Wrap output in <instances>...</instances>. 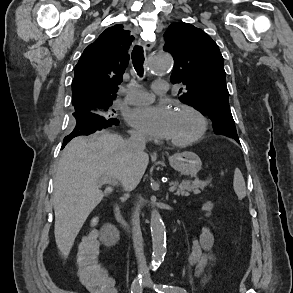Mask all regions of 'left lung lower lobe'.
Wrapping results in <instances>:
<instances>
[{
  "instance_id": "1",
  "label": "left lung lower lobe",
  "mask_w": 293,
  "mask_h": 293,
  "mask_svg": "<svg viewBox=\"0 0 293 293\" xmlns=\"http://www.w3.org/2000/svg\"><path fill=\"white\" fill-rule=\"evenodd\" d=\"M235 140H236L238 143H240V141H239V139H238V138H235Z\"/></svg>"
}]
</instances>
